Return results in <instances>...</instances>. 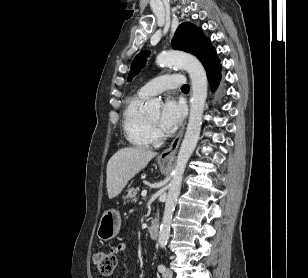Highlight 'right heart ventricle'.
<instances>
[{"mask_svg":"<svg viewBox=\"0 0 308 278\" xmlns=\"http://www.w3.org/2000/svg\"><path fill=\"white\" fill-rule=\"evenodd\" d=\"M145 99L139 94L129 97L122 115L126 139L140 148H147L153 143L152 125L141 111Z\"/></svg>","mask_w":308,"mask_h":278,"instance_id":"e07e8e85","label":"right heart ventricle"}]
</instances>
